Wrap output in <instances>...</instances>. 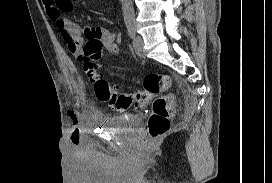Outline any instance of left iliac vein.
Listing matches in <instances>:
<instances>
[{
  "instance_id": "1",
  "label": "left iliac vein",
  "mask_w": 272,
  "mask_h": 183,
  "mask_svg": "<svg viewBox=\"0 0 272 183\" xmlns=\"http://www.w3.org/2000/svg\"><path fill=\"white\" fill-rule=\"evenodd\" d=\"M143 45H144V42H143L142 37L135 36L133 39V47H134V50L136 51V53L141 57H143Z\"/></svg>"
}]
</instances>
